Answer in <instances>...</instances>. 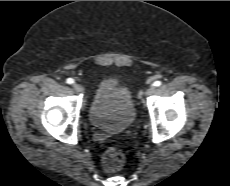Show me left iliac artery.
I'll return each mask as SVG.
<instances>
[{
  "mask_svg": "<svg viewBox=\"0 0 230 186\" xmlns=\"http://www.w3.org/2000/svg\"><path fill=\"white\" fill-rule=\"evenodd\" d=\"M161 84H162L161 81H155V82L152 84V86H154V87H159Z\"/></svg>",
  "mask_w": 230,
  "mask_h": 186,
  "instance_id": "obj_1",
  "label": "left iliac artery"
}]
</instances>
